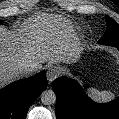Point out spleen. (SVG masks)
Segmentation results:
<instances>
[{
	"label": "spleen",
	"instance_id": "spleen-1",
	"mask_svg": "<svg viewBox=\"0 0 119 119\" xmlns=\"http://www.w3.org/2000/svg\"><path fill=\"white\" fill-rule=\"evenodd\" d=\"M88 94L90 97L98 102H108L111 99H113L114 94L111 93L110 91H98L97 89L94 88H89L88 89Z\"/></svg>",
	"mask_w": 119,
	"mask_h": 119
}]
</instances>
